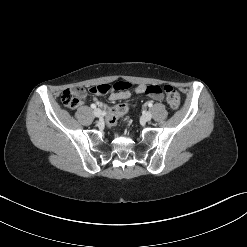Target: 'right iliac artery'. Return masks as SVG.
Masks as SVG:
<instances>
[{
	"label": "right iliac artery",
	"mask_w": 247,
	"mask_h": 247,
	"mask_svg": "<svg viewBox=\"0 0 247 247\" xmlns=\"http://www.w3.org/2000/svg\"><path fill=\"white\" fill-rule=\"evenodd\" d=\"M91 108L92 109H95L96 108V105L95 104H91Z\"/></svg>",
	"instance_id": "right-iliac-artery-1"
}]
</instances>
